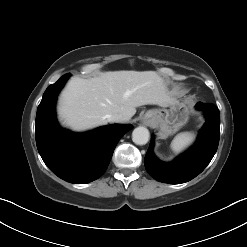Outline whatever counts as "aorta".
<instances>
[{"instance_id": "aorta-1", "label": "aorta", "mask_w": 247, "mask_h": 247, "mask_svg": "<svg viewBox=\"0 0 247 247\" xmlns=\"http://www.w3.org/2000/svg\"><path fill=\"white\" fill-rule=\"evenodd\" d=\"M149 130L145 127H137L132 132V140L137 145H145L149 141Z\"/></svg>"}]
</instances>
